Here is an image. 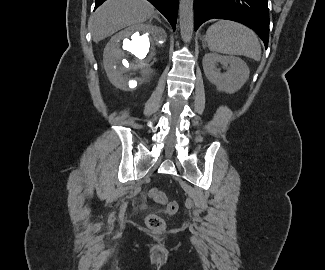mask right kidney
Returning <instances> with one entry per match:
<instances>
[{"instance_id":"1","label":"right kidney","mask_w":325,"mask_h":270,"mask_svg":"<svg viewBox=\"0 0 325 270\" xmlns=\"http://www.w3.org/2000/svg\"><path fill=\"white\" fill-rule=\"evenodd\" d=\"M166 38L162 28L149 24L133 25L114 35L103 54V65L110 82L125 91L147 83L155 74L156 47H160Z\"/></svg>"}]
</instances>
